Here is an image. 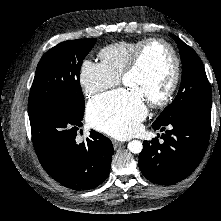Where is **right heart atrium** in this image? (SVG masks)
I'll return each instance as SVG.
<instances>
[{"mask_svg": "<svg viewBox=\"0 0 221 221\" xmlns=\"http://www.w3.org/2000/svg\"><path fill=\"white\" fill-rule=\"evenodd\" d=\"M119 78L108 73L100 63L85 60L80 69V83L89 97L116 86Z\"/></svg>", "mask_w": 221, "mask_h": 221, "instance_id": "d8ad5b80", "label": "right heart atrium"}]
</instances>
